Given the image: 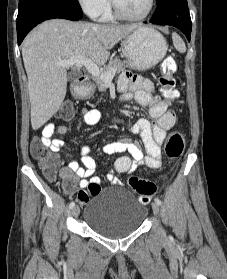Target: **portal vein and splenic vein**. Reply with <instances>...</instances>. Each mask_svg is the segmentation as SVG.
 Here are the masks:
<instances>
[{"mask_svg": "<svg viewBox=\"0 0 227 279\" xmlns=\"http://www.w3.org/2000/svg\"><path fill=\"white\" fill-rule=\"evenodd\" d=\"M57 65L65 68H69L73 65H83L89 73L93 76H100L105 82H111L116 73L115 69H111L108 72H102L97 64L82 56L71 57L65 61H58Z\"/></svg>", "mask_w": 227, "mask_h": 279, "instance_id": "18ae733b", "label": "portal vein and splenic vein"}]
</instances>
